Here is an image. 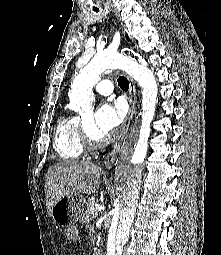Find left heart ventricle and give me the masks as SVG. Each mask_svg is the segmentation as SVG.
Returning <instances> with one entry per match:
<instances>
[{"label":"left heart ventricle","mask_w":221,"mask_h":255,"mask_svg":"<svg viewBox=\"0 0 221 255\" xmlns=\"http://www.w3.org/2000/svg\"><path fill=\"white\" fill-rule=\"evenodd\" d=\"M84 124L86 128L88 129L89 133L95 138V139H101L103 136L100 135L93 127V118L92 116L86 118L84 120Z\"/></svg>","instance_id":"left-heart-ventricle-1"}]
</instances>
